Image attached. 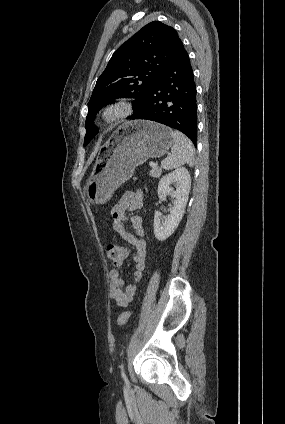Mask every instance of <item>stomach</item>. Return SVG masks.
I'll list each match as a JSON object with an SVG mask.
<instances>
[{
    "label": "stomach",
    "instance_id": "stomach-1",
    "mask_svg": "<svg viewBox=\"0 0 285 424\" xmlns=\"http://www.w3.org/2000/svg\"><path fill=\"white\" fill-rule=\"evenodd\" d=\"M174 144L169 127L151 121L122 124L102 146L84 193L90 203L103 204L148 158L163 156Z\"/></svg>",
    "mask_w": 285,
    "mask_h": 424
}]
</instances>
